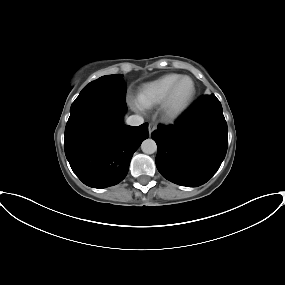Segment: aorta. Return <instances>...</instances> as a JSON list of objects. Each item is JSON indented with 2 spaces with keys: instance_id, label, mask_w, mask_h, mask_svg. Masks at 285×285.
Masks as SVG:
<instances>
[{
  "instance_id": "aorta-1",
  "label": "aorta",
  "mask_w": 285,
  "mask_h": 285,
  "mask_svg": "<svg viewBox=\"0 0 285 285\" xmlns=\"http://www.w3.org/2000/svg\"><path fill=\"white\" fill-rule=\"evenodd\" d=\"M141 150L145 153V154H153L156 152L157 150V145L156 142L153 139H146L142 142L141 144Z\"/></svg>"
}]
</instances>
